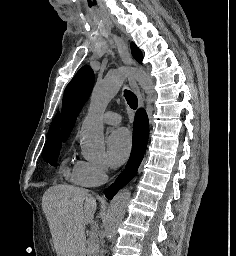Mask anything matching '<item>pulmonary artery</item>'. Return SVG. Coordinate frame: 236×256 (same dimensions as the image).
<instances>
[{"label": "pulmonary artery", "mask_w": 236, "mask_h": 256, "mask_svg": "<svg viewBox=\"0 0 236 256\" xmlns=\"http://www.w3.org/2000/svg\"><path fill=\"white\" fill-rule=\"evenodd\" d=\"M102 120L106 124L117 125L120 123L121 117L117 112L107 111L103 113Z\"/></svg>", "instance_id": "e3ab8cb5"}]
</instances>
